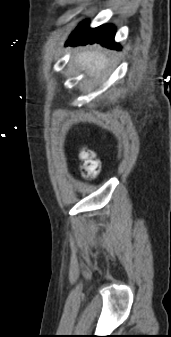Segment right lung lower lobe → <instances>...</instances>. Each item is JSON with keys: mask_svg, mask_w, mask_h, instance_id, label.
Instances as JSON below:
<instances>
[{"mask_svg": "<svg viewBox=\"0 0 171 337\" xmlns=\"http://www.w3.org/2000/svg\"><path fill=\"white\" fill-rule=\"evenodd\" d=\"M115 27L112 25H103L97 28H89V22L80 24L71 34L66 45H86L100 43L108 48L120 49V46L114 42Z\"/></svg>", "mask_w": 171, "mask_h": 337, "instance_id": "98d812e1", "label": "right lung lower lobe"}]
</instances>
